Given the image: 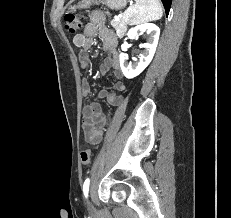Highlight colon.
Returning a JSON list of instances; mask_svg holds the SVG:
<instances>
[{"mask_svg": "<svg viewBox=\"0 0 231 218\" xmlns=\"http://www.w3.org/2000/svg\"><path fill=\"white\" fill-rule=\"evenodd\" d=\"M65 29L70 34H75L81 28V22L75 14L68 13L64 17ZM83 164H88L91 160V151L83 150L80 154Z\"/></svg>", "mask_w": 231, "mask_h": 218, "instance_id": "5ec220e1", "label": "colon"}]
</instances>
